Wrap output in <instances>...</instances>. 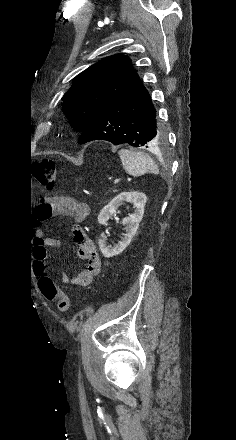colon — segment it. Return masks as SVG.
<instances>
[{"instance_id": "5ec220e1", "label": "colon", "mask_w": 236, "mask_h": 440, "mask_svg": "<svg viewBox=\"0 0 236 440\" xmlns=\"http://www.w3.org/2000/svg\"><path fill=\"white\" fill-rule=\"evenodd\" d=\"M35 177L38 182L47 189H52L55 184L56 164L52 159L44 158L40 160L35 167ZM41 293L50 301L56 303L61 312H68L71 304L69 297L60 291L52 280L45 276L39 283Z\"/></svg>"}]
</instances>
